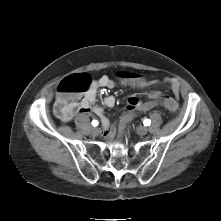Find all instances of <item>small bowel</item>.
Listing matches in <instances>:
<instances>
[{
    "mask_svg": "<svg viewBox=\"0 0 221 221\" xmlns=\"http://www.w3.org/2000/svg\"><path fill=\"white\" fill-rule=\"evenodd\" d=\"M166 83L169 84L171 92L173 94L171 99L177 101L180 92V84L174 78H168L165 80ZM115 86V82L110 79L106 75H102L96 80L92 82L91 87L89 90L83 95L80 100H75L72 104V117L75 113L81 114H93L100 119L101 125L107 137H111L116 130L117 124H111L109 119L105 116L103 109L100 106L95 105L96 101V91L99 88H113ZM165 95L164 91H157L155 94L152 95L151 91H144V92H136L135 96H130L128 99L127 107L124 113L121 115H125L131 112V109L134 108L136 105L143 103V100H150L155 98L157 95ZM148 101V102H150ZM178 102V101H177ZM104 104L108 108H112L115 105V98L113 96H107L104 99ZM170 111V110H169ZM172 112V111H171ZM71 117V118H72Z\"/></svg>",
    "mask_w": 221,
    "mask_h": 221,
    "instance_id": "small-bowel-1",
    "label": "small bowel"
}]
</instances>
